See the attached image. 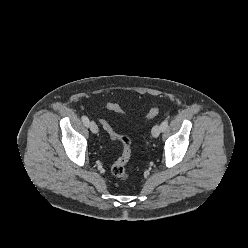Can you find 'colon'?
Wrapping results in <instances>:
<instances>
[{
  "label": "colon",
  "instance_id": "5ec220e1",
  "mask_svg": "<svg viewBox=\"0 0 248 248\" xmlns=\"http://www.w3.org/2000/svg\"><path fill=\"white\" fill-rule=\"evenodd\" d=\"M106 109L117 114H124V109L117 103L107 102L105 103ZM160 112L159 107H152L147 112L145 119L150 120L156 117ZM102 128L109 134V136L118 140L122 144V153L119 158L113 163L111 167L112 174L119 179H126L128 177V172L126 170V165L129 162L132 154V140L128 135L118 134L114 131L113 127L104 119L99 120Z\"/></svg>",
  "mask_w": 248,
  "mask_h": 248
}]
</instances>
